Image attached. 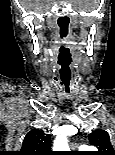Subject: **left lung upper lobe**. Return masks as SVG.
I'll use <instances>...</instances> for the list:
<instances>
[{
	"instance_id": "obj_1",
	"label": "left lung upper lobe",
	"mask_w": 115,
	"mask_h": 155,
	"mask_svg": "<svg viewBox=\"0 0 115 155\" xmlns=\"http://www.w3.org/2000/svg\"><path fill=\"white\" fill-rule=\"evenodd\" d=\"M89 140L92 145L99 149L96 155H115V150L110 143L109 134L106 131H93L89 134Z\"/></svg>"
}]
</instances>
